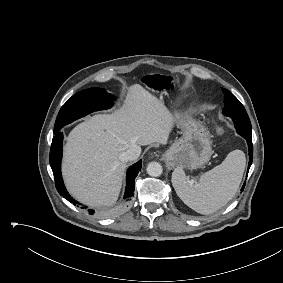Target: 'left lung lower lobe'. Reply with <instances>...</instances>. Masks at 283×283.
<instances>
[{
  "mask_svg": "<svg viewBox=\"0 0 283 283\" xmlns=\"http://www.w3.org/2000/svg\"><path fill=\"white\" fill-rule=\"evenodd\" d=\"M237 122V127H238V134H240L243 138L246 139L247 144H248V149H249V164H248V170H247V174L249 171V168L252 164V158H253V145H252V135H251V123L250 121L248 122V120H243L241 118L237 119L234 121ZM245 187V182L244 185L242 186L241 191H243Z\"/></svg>",
  "mask_w": 283,
  "mask_h": 283,
  "instance_id": "obj_1",
  "label": "left lung lower lobe"
}]
</instances>
